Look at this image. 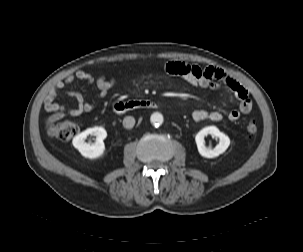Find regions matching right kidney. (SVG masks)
Masks as SVG:
<instances>
[{
	"instance_id": "right-kidney-1",
	"label": "right kidney",
	"mask_w": 303,
	"mask_h": 252,
	"mask_svg": "<svg viewBox=\"0 0 303 252\" xmlns=\"http://www.w3.org/2000/svg\"><path fill=\"white\" fill-rule=\"evenodd\" d=\"M89 135L96 136V142L89 144L85 139ZM107 137V132L103 127L88 128L73 138V146L81 153L82 156L90 159L98 158L105 151L104 139Z\"/></svg>"
}]
</instances>
